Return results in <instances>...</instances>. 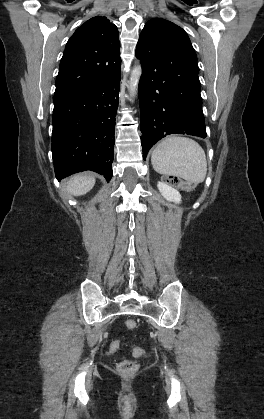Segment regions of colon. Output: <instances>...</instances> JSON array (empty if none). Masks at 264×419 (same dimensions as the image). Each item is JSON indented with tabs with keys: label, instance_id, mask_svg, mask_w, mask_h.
Returning <instances> with one entry per match:
<instances>
[{
	"label": "colon",
	"instance_id": "obj_1",
	"mask_svg": "<svg viewBox=\"0 0 264 419\" xmlns=\"http://www.w3.org/2000/svg\"><path fill=\"white\" fill-rule=\"evenodd\" d=\"M166 182H168L171 185H174L176 187H180L186 190H191L193 188V185L191 183L185 182L182 179H180L179 177H175V176H168L166 177ZM126 326L128 329L132 330L135 329L137 326V323L135 320H128L126 322ZM132 353L134 356L136 357H140L144 354L143 349L139 348V347H134L132 349ZM137 363L133 360H124L122 362H120L118 364V371L123 374V375H131L133 374L136 370H137Z\"/></svg>",
	"mask_w": 264,
	"mask_h": 419
}]
</instances>
